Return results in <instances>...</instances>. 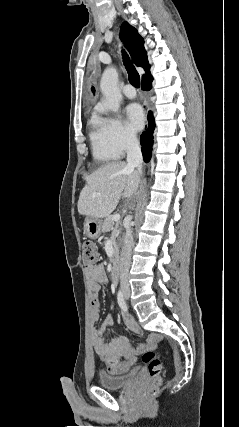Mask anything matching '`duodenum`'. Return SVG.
Listing matches in <instances>:
<instances>
[{
  "instance_id": "1",
  "label": "duodenum",
  "mask_w": 239,
  "mask_h": 427,
  "mask_svg": "<svg viewBox=\"0 0 239 427\" xmlns=\"http://www.w3.org/2000/svg\"><path fill=\"white\" fill-rule=\"evenodd\" d=\"M119 276H120L119 265L116 261H114L111 267V278L113 282H117L119 280Z\"/></svg>"
}]
</instances>
